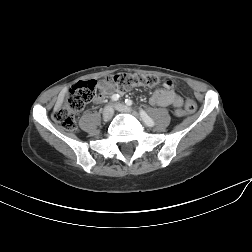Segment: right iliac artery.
Returning a JSON list of instances; mask_svg holds the SVG:
<instances>
[{"label":"right iliac artery","instance_id":"82829eb1","mask_svg":"<svg viewBox=\"0 0 252 252\" xmlns=\"http://www.w3.org/2000/svg\"><path fill=\"white\" fill-rule=\"evenodd\" d=\"M119 97L120 96L118 94H114V95L111 96V100L112 101H117V100H119Z\"/></svg>","mask_w":252,"mask_h":252}]
</instances>
